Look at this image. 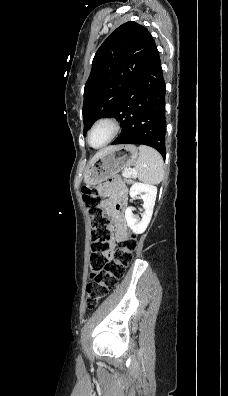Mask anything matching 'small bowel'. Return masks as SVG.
Masks as SVG:
<instances>
[{
  "label": "small bowel",
  "instance_id": "small-bowel-1",
  "mask_svg": "<svg viewBox=\"0 0 228 396\" xmlns=\"http://www.w3.org/2000/svg\"><path fill=\"white\" fill-rule=\"evenodd\" d=\"M115 178L112 182L101 184L99 186L100 193L105 199V206L111 211L114 220V226L120 235H124L127 230L126 221L123 215V200L125 190L121 183Z\"/></svg>",
  "mask_w": 228,
  "mask_h": 396
}]
</instances>
